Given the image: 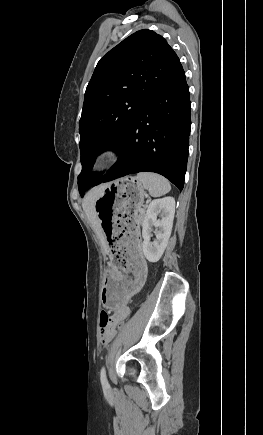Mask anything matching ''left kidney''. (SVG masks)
Instances as JSON below:
<instances>
[{"label": "left kidney", "mask_w": 263, "mask_h": 435, "mask_svg": "<svg viewBox=\"0 0 263 435\" xmlns=\"http://www.w3.org/2000/svg\"><path fill=\"white\" fill-rule=\"evenodd\" d=\"M175 214V200L173 197H164L150 202L142 223L143 254L149 262L159 261L164 253L171 235ZM160 215V219L157 216ZM155 226L156 240L150 241L152 227Z\"/></svg>", "instance_id": "5707ae66"}]
</instances>
